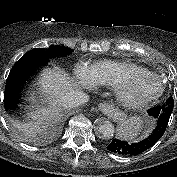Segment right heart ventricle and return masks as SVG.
Wrapping results in <instances>:
<instances>
[{
    "instance_id": "right-heart-ventricle-1",
    "label": "right heart ventricle",
    "mask_w": 177,
    "mask_h": 177,
    "mask_svg": "<svg viewBox=\"0 0 177 177\" xmlns=\"http://www.w3.org/2000/svg\"><path fill=\"white\" fill-rule=\"evenodd\" d=\"M100 83L114 88L118 81L127 74L150 72L148 69L132 62L105 60L95 64Z\"/></svg>"
}]
</instances>
